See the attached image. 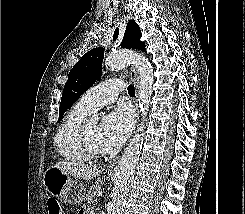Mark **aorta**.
<instances>
[{
  "label": "aorta",
  "mask_w": 245,
  "mask_h": 214,
  "mask_svg": "<svg viewBox=\"0 0 245 214\" xmlns=\"http://www.w3.org/2000/svg\"><path fill=\"white\" fill-rule=\"evenodd\" d=\"M130 64H135L140 75L139 108L143 122L138 125L135 135L124 149L119 161L116 182L112 193L110 214H123L129 187L134 178L143 146L144 121L149 110L154 83L153 67L148 59L138 53L118 51L110 54L105 61V67L110 70L122 69ZM92 120L97 121L98 117L94 116Z\"/></svg>",
  "instance_id": "obj_1"
}]
</instances>
